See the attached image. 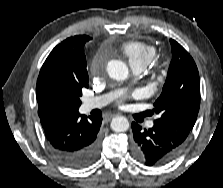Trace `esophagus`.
I'll return each mask as SVG.
<instances>
[{
  "label": "esophagus",
  "instance_id": "1",
  "mask_svg": "<svg viewBox=\"0 0 223 188\" xmlns=\"http://www.w3.org/2000/svg\"><path fill=\"white\" fill-rule=\"evenodd\" d=\"M113 116H114V115H111V116L107 117V118H106V121H110L111 118H112Z\"/></svg>",
  "mask_w": 223,
  "mask_h": 188
}]
</instances>
